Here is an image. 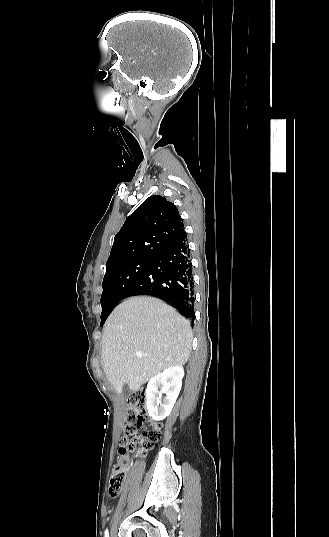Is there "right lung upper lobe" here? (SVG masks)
<instances>
[{
	"instance_id": "1",
	"label": "right lung upper lobe",
	"mask_w": 329,
	"mask_h": 537,
	"mask_svg": "<svg viewBox=\"0 0 329 537\" xmlns=\"http://www.w3.org/2000/svg\"><path fill=\"white\" fill-rule=\"evenodd\" d=\"M176 206L165 197L147 198L114 238L106 270L138 259H154L185 235Z\"/></svg>"
}]
</instances>
